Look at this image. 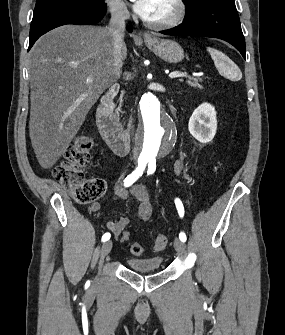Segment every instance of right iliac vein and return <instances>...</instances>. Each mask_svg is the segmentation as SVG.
<instances>
[{"instance_id": "obj_1", "label": "right iliac vein", "mask_w": 285, "mask_h": 335, "mask_svg": "<svg viewBox=\"0 0 285 335\" xmlns=\"http://www.w3.org/2000/svg\"><path fill=\"white\" fill-rule=\"evenodd\" d=\"M112 248V241H107L105 242L102 247H101V251H100V263L99 266H101L102 264V260L104 259L105 256H107Z\"/></svg>"}]
</instances>
